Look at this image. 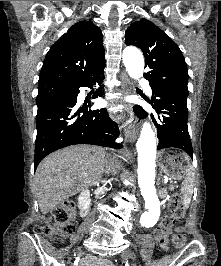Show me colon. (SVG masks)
Returning <instances> with one entry per match:
<instances>
[{
	"label": "colon",
	"instance_id": "obj_1",
	"mask_svg": "<svg viewBox=\"0 0 221 266\" xmlns=\"http://www.w3.org/2000/svg\"><path fill=\"white\" fill-rule=\"evenodd\" d=\"M74 202L67 200L60 203L53 210L55 220L54 226L40 225L35 231L45 237H66L75 232L76 226L73 222ZM185 216V205L179 194H174L169 201V213L165 215L156 229L157 241L164 244L167 242L173 226L182 221ZM174 245L177 248L184 247L186 236L177 232L173 236Z\"/></svg>",
	"mask_w": 221,
	"mask_h": 266
}]
</instances>
